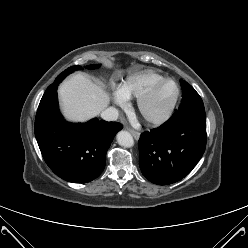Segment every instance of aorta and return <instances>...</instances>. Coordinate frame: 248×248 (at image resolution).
I'll return each instance as SVG.
<instances>
[{"label": "aorta", "mask_w": 248, "mask_h": 248, "mask_svg": "<svg viewBox=\"0 0 248 248\" xmlns=\"http://www.w3.org/2000/svg\"><path fill=\"white\" fill-rule=\"evenodd\" d=\"M117 142L120 146L130 148L134 145V139L132 135L127 131H120L117 134Z\"/></svg>", "instance_id": "762f6f07"}]
</instances>
